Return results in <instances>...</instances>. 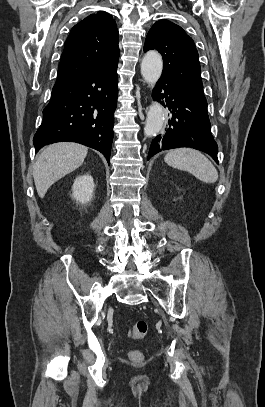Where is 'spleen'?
<instances>
[{"instance_id":"spleen-1","label":"spleen","mask_w":265,"mask_h":407,"mask_svg":"<svg viewBox=\"0 0 265 407\" xmlns=\"http://www.w3.org/2000/svg\"><path fill=\"white\" fill-rule=\"evenodd\" d=\"M164 160L171 167L187 171L205 183H215L218 180V172L214 165L195 149H173L166 154Z\"/></svg>"}]
</instances>
